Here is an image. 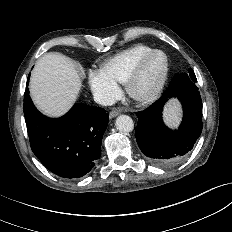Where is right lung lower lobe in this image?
Instances as JSON below:
<instances>
[{"label":"right lung lower lobe","mask_w":232,"mask_h":232,"mask_svg":"<svg viewBox=\"0 0 232 232\" xmlns=\"http://www.w3.org/2000/svg\"><path fill=\"white\" fill-rule=\"evenodd\" d=\"M28 94L26 89L24 116L33 153L60 177L85 176L101 156L102 137L109 119L106 111L75 103L64 116L48 118L36 109Z\"/></svg>","instance_id":"1"}]
</instances>
